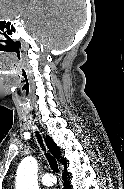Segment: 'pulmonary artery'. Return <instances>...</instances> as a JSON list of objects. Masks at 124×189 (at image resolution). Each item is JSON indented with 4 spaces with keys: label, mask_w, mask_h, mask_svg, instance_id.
I'll list each match as a JSON object with an SVG mask.
<instances>
[{
    "label": "pulmonary artery",
    "mask_w": 124,
    "mask_h": 189,
    "mask_svg": "<svg viewBox=\"0 0 124 189\" xmlns=\"http://www.w3.org/2000/svg\"><path fill=\"white\" fill-rule=\"evenodd\" d=\"M41 183L45 186H52L56 183V177L51 173H46L41 177Z\"/></svg>",
    "instance_id": "e3ab8cb5"
}]
</instances>
